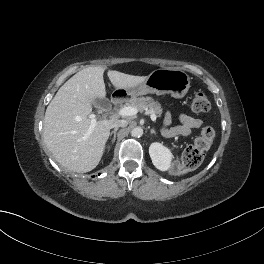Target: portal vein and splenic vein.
<instances>
[{
  "label": "portal vein and splenic vein",
  "instance_id": "1",
  "mask_svg": "<svg viewBox=\"0 0 264 264\" xmlns=\"http://www.w3.org/2000/svg\"><path fill=\"white\" fill-rule=\"evenodd\" d=\"M137 113H138V109L136 107H132V106L123 107V108H121L118 111V114L120 116H123V117H125V116H133V115H136ZM150 114H151L150 115L151 120L153 122H155L156 121V114L154 112H150ZM89 118L91 119V125H90V128H89V130L91 131L95 127L97 120H96V116L94 114H91L89 116Z\"/></svg>",
  "mask_w": 264,
  "mask_h": 264
}]
</instances>
